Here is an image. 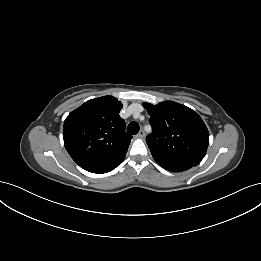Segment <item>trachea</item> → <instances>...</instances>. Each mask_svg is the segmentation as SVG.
Returning <instances> with one entry per match:
<instances>
[{"label":"trachea","mask_w":261,"mask_h":261,"mask_svg":"<svg viewBox=\"0 0 261 261\" xmlns=\"http://www.w3.org/2000/svg\"><path fill=\"white\" fill-rule=\"evenodd\" d=\"M127 131L129 134L135 135L139 132V124L136 122L129 123L127 127Z\"/></svg>","instance_id":"1"}]
</instances>
